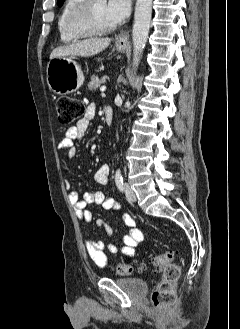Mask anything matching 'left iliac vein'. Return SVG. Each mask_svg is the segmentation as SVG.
<instances>
[{"label": "left iliac vein", "instance_id": "1", "mask_svg": "<svg viewBox=\"0 0 240 329\" xmlns=\"http://www.w3.org/2000/svg\"><path fill=\"white\" fill-rule=\"evenodd\" d=\"M124 189H125L126 198L131 202H135L136 195L134 191L131 189V187L128 184H125Z\"/></svg>", "mask_w": 240, "mask_h": 329}]
</instances>
